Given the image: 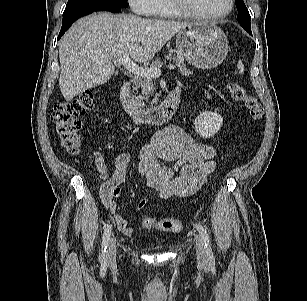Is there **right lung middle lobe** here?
I'll list each match as a JSON object with an SVG mask.
<instances>
[{
	"mask_svg": "<svg viewBox=\"0 0 307 301\" xmlns=\"http://www.w3.org/2000/svg\"><path fill=\"white\" fill-rule=\"evenodd\" d=\"M128 7L127 0H68L63 17L97 7Z\"/></svg>",
	"mask_w": 307,
	"mask_h": 301,
	"instance_id": "right-lung-middle-lobe-1",
	"label": "right lung middle lobe"
}]
</instances>
